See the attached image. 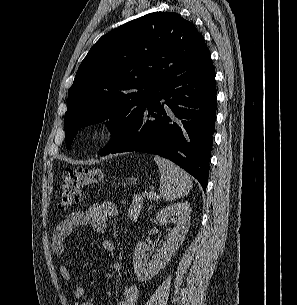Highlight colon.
Segmentation results:
<instances>
[{
	"instance_id": "5ec220e1",
	"label": "colon",
	"mask_w": 297,
	"mask_h": 305,
	"mask_svg": "<svg viewBox=\"0 0 297 305\" xmlns=\"http://www.w3.org/2000/svg\"><path fill=\"white\" fill-rule=\"evenodd\" d=\"M102 178L103 173L98 168L68 170L60 187V209L67 211L77 207L82 200V188L100 183Z\"/></svg>"
}]
</instances>
